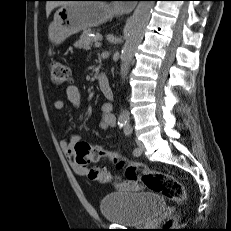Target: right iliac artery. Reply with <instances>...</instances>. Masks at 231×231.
Segmentation results:
<instances>
[{"instance_id":"1","label":"right iliac artery","mask_w":231,"mask_h":231,"mask_svg":"<svg viewBox=\"0 0 231 231\" xmlns=\"http://www.w3.org/2000/svg\"><path fill=\"white\" fill-rule=\"evenodd\" d=\"M118 125H119L120 128H122V127H124L126 125V121L125 120H119Z\"/></svg>"}]
</instances>
